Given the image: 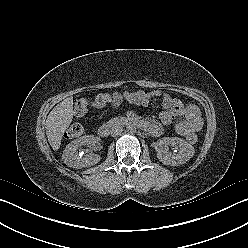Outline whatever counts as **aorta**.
Wrapping results in <instances>:
<instances>
[{
	"label": "aorta",
	"mask_w": 248,
	"mask_h": 248,
	"mask_svg": "<svg viewBox=\"0 0 248 248\" xmlns=\"http://www.w3.org/2000/svg\"><path fill=\"white\" fill-rule=\"evenodd\" d=\"M126 130H127V132H129V133H135V132H136V125L133 124V123H129V124H127V126H126Z\"/></svg>",
	"instance_id": "1"
}]
</instances>
